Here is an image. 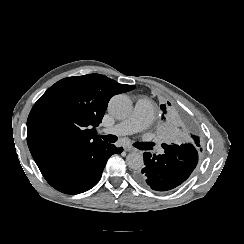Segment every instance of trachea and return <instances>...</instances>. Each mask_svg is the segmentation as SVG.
Returning a JSON list of instances; mask_svg holds the SVG:
<instances>
[{
    "label": "trachea",
    "mask_w": 244,
    "mask_h": 244,
    "mask_svg": "<svg viewBox=\"0 0 244 244\" xmlns=\"http://www.w3.org/2000/svg\"><path fill=\"white\" fill-rule=\"evenodd\" d=\"M100 137L103 138L105 141L110 142V143H114V142H116L118 140V137L115 136V135H106V136L105 135H103V136L100 135ZM133 146L134 147H139V143L138 142L133 143Z\"/></svg>",
    "instance_id": "3493384b"
}]
</instances>
